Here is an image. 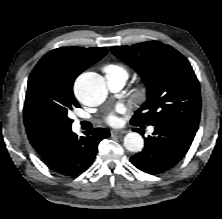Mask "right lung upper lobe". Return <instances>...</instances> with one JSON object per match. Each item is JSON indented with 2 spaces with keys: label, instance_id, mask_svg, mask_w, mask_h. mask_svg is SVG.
<instances>
[{
  "label": "right lung upper lobe",
  "instance_id": "right-lung-upper-lobe-1",
  "mask_svg": "<svg viewBox=\"0 0 222 219\" xmlns=\"http://www.w3.org/2000/svg\"><path fill=\"white\" fill-rule=\"evenodd\" d=\"M107 53L105 48L61 47L48 52L39 64L48 63L53 70L52 85L57 92L71 93L76 77ZM24 122L31 145L44 160L57 150L71 127L52 122L29 111L24 105Z\"/></svg>",
  "mask_w": 222,
  "mask_h": 219
}]
</instances>
